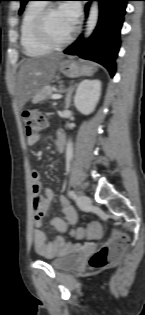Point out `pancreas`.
I'll return each mask as SVG.
<instances>
[{"mask_svg": "<svg viewBox=\"0 0 145 315\" xmlns=\"http://www.w3.org/2000/svg\"><path fill=\"white\" fill-rule=\"evenodd\" d=\"M53 87L52 86H45L40 93L38 94V99L40 100H47L52 95Z\"/></svg>", "mask_w": 145, "mask_h": 315, "instance_id": "pancreas-1", "label": "pancreas"}]
</instances>
